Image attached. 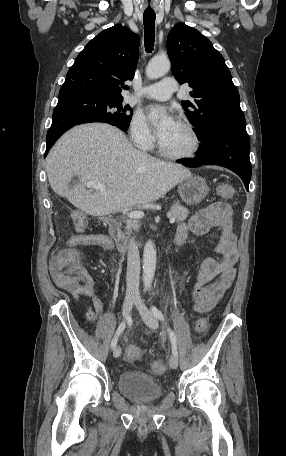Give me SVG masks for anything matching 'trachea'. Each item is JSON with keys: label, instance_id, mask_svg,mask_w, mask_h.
I'll list each match as a JSON object with an SVG mask.
<instances>
[{"label": "trachea", "instance_id": "trachea-1", "mask_svg": "<svg viewBox=\"0 0 286 456\" xmlns=\"http://www.w3.org/2000/svg\"><path fill=\"white\" fill-rule=\"evenodd\" d=\"M155 13L144 12L143 24H144V44L147 53H151L155 42Z\"/></svg>", "mask_w": 286, "mask_h": 456}]
</instances>
